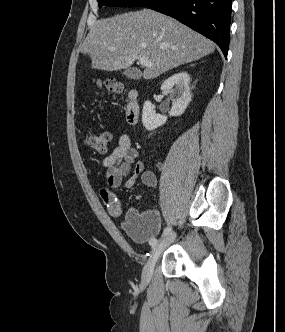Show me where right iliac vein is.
<instances>
[{
  "instance_id": "1",
  "label": "right iliac vein",
  "mask_w": 285,
  "mask_h": 332,
  "mask_svg": "<svg viewBox=\"0 0 285 332\" xmlns=\"http://www.w3.org/2000/svg\"><path fill=\"white\" fill-rule=\"evenodd\" d=\"M176 233L170 232L153 250L150 258L144 266L142 272V281L148 283L151 280L155 265L161 255V253L174 241Z\"/></svg>"
}]
</instances>
